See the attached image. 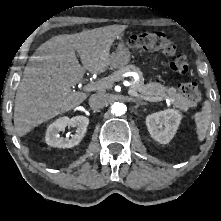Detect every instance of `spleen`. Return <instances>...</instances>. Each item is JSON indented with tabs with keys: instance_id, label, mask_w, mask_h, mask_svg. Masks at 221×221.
I'll list each match as a JSON object with an SVG mask.
<instances>
[{
	"instance_id": "1",
	"label": "spleen",
	"mask_w": 221,
	"mask_h": 221,
	"mask_svg": "<svg viewBox=\"0 0 221 221\" xmlns=\"http://www.w3.org/2000/svg\"><path fill=\"white\" fill-rule=\"evenodd\" d=\"M211 118V108L208 101L203 103L201 112L195 114V124L198 139L203 141L209 128Z\"/></svg>"
}]
</instances>
